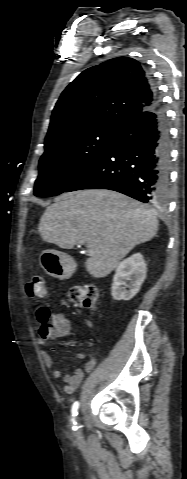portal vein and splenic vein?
Masks as SVG:
<instances>
[{"mask_svg": "<svg viewBox=\"0 0 187 479\" xmlns=\"http://www.w3.org/2000/svg\"><path fill=\"white\" fill-rule=\"evenodd\" d=\"M80 244H84V241H81Z\"/></svg>", "mask_w": 187, "mask_h": 479, "instance_id": "18ae733b", "label": "portal vein and splenic vein"}]
</instances>
